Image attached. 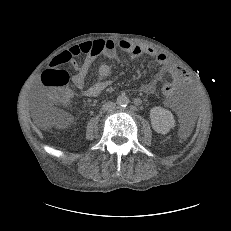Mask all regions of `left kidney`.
Listing matches in <instances>:
<instances>
[{
  "label": "left kidney",
  "instance_id": "5707ae66",
  "mask_svg": "<svg viewBox=\"0 0 231 231\" xmlns=\"http://www.w3.org/2000/svg\"><path fill=\"white\" fill-rule=\"evenodd\" d=\"M150 119L152 128L157 133L167 134L175 127V119L171 111L159 106H155L150 110Z\"/></svg>",
  "mask_w": 231,
  "mask_h": 231
}]
</instances>
